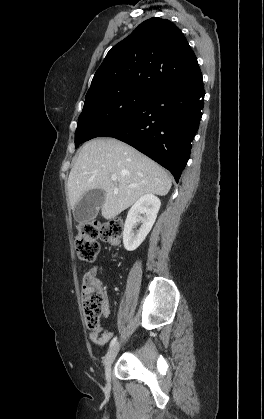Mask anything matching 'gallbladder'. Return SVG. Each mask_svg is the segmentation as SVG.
<instances>
[{"mask_svg":"<svg viewBox=\"0 0 264 419\" xmlns=\"http://www.w3.org/2000/svg\"><path fill=\"white\" fill-rule=\"evenodd\" d=\"M105 200V192L101 189L87 191L76 204L73 215L77 222L88 223L98 214Z\"/></svg>","mask_w":264,"mask_h":419,"instance_id":"bac80fb5","label":"gallbladder"}]
</instances>
